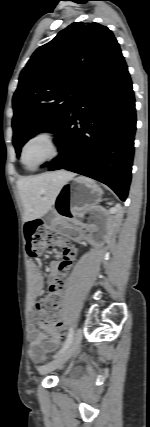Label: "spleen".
I'll return each mask as SVG.
<instances>
[{
	"mask_svg": "<svg viewBox=\"0 0 150 427\" xmlns=\"http://www.w3.org/2000/svg\"><path fill=\"white\" fill-rule=\"evenodd\" d=\"M82 178V177H81ZM85 182H87V183H89V184H91V185H93L95 188H97L98 190H101L100 188H99V186L93 181V180H90V179H88V178H82Z\"/></svg>",
	"mask_w": 150,
	"mask_h": 427,
	"instance_id": "spleen-1",
	"label": "spleen"
}]
</instances>
